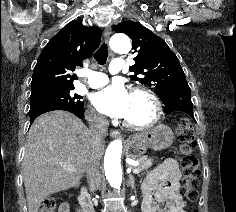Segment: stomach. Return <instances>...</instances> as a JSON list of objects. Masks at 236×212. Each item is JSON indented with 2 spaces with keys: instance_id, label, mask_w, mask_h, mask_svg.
<instances>
[{
  "instance_id": "1",
  "label": "stomach",
  "mask_w": 236,
  "mask_h": 212,
  "mask_svg": "<svg viewBox=\"0 0 236 212\" xmlns=\"http://www.w3.org/2000/svg\"><path fill=\"white\" fill-rule=\"evenodd\" d=\"M174 140V133L167 125L159 124L146 132L132 135L127 143V155L138 157L148 148L160 151L170 147Z\"/></svg>"
}]
</instances>
